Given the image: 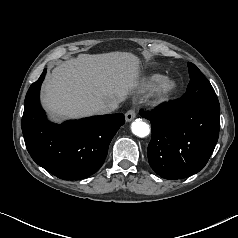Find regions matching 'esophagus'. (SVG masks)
<instances>
[{"instance_id":"1","label":"esophagus","mask_w":238,"mask_h":238,"mask_svg":"<svg viewBox=\"0 0 238 238\" xmlns=\"http://www.w3.org/2000/svg\"><path fill=\"white\" fill-rule=\"evenodd\" d=\"M136 117V111H135V109H130V110H128L127 112H126V114H125V120H126V122H130V121H132L134 118Z\"/></svg>"}]
</instances>
